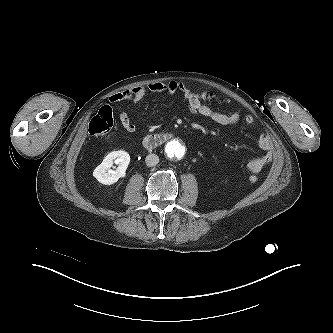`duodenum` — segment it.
Returning a JSON list of instances; mask_svg holds the SVG:
<instances>
[{
	"label": "duodenum",
	"mask_w": 333,
	"mask_h": 333,
	"mask_svg": "<svg viewBox=\"0 0 333 333\" xmlns=\"http://www.w3.org/2000/svg\"><path fill=\"white\" fill-rule=\"evenodd\" d=\"M169 138L167 133L149 134L143 140V145L147 149H153L164 143Z\"/></svg>",
	"instance_id": "obj_1"
}]
</instances>
